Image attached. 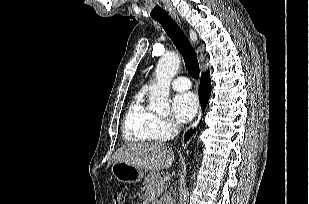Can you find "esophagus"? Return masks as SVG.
Instances as JSON below:
<instances>
[{
  "label": "esophagus",
  "mask_w": 309,
  "mask_h": 204,
  "mask_svg": "<svg viewBox=\"0 0 309 204\" xmlns=\"http://www.w3.org/2000/svg\"><path fill=\"white\" fill-rule=\"evenodd\" d=\"M171 16H172L175 20H177L179 23H181V22H180V19L178 18V16H177L175 13H171ZM192 40L195 41V39H192ZM201 117H202V110L200 109L199 112H198V114H197L196 119L194 120V122H193V124H192V128H194L195 126H197V124L199 123Z\"/></svg>",
  "instance_id": "obj_1"
}]
</instances>
